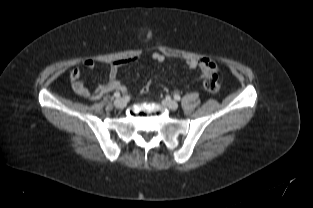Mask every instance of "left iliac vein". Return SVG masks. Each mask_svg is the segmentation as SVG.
<instances>
[{
  "label": "left iliac vein",
  "mask_w": 313,
  "mask_h": 208,
  "mask_svg": "<svg viewBox=\"0 0 313 208\" xmlns=\"http://www.w3.org/2000/svg\"><path fill=\"white\" fill-rule=\"evenodd\" d=\"M163 104L171 110H176L178 108V103L171 99L163 100Z\"/></svg>",
  "instance_id": "obj_1"
}]
</instances>
